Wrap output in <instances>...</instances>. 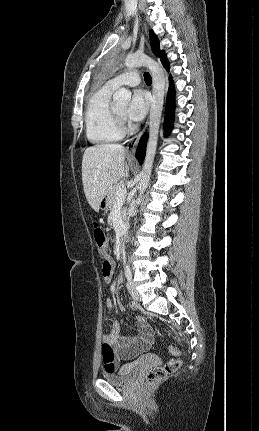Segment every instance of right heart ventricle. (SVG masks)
Instances as JSON below:
<instances>
[{
    "label": "right heart ventricle",
    "mask_w": 259,
    "mask_h": 431,
    "mask_svg": "<svg viewBox=\"0 0 259 431\" xmlns=\"http://www.w3.org/2000/svg\"><path fill=\"white\" fill-rule=\"evenodd\" d=\"M114 89L106 84L93 93L88 100L85 112V131L92 144L103 145L122 137L110 102Z\"/></svg>",
    "instance_id": "1"
}]
</instances>
